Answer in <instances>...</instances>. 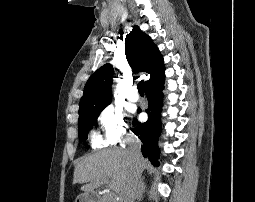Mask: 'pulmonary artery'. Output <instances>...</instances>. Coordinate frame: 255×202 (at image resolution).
I'll return each instance as SVG.
<instances>
[{"instance_id":"pulmonary-artery-1","label":"pulmonary artery","mask_w":255,"mask_h":202,"mask_svg":"<svg viewBox=\"0 0 255 202\" xmlns=\"http://www.w3.org/2000/svg\"><path fill=\"white\" fill-rule=\"evenodd\" d=\"M127 98L131 102H136L139 99V95L135 88H132L129 93L127 94Z\"/></svg>"}]
</instances>
